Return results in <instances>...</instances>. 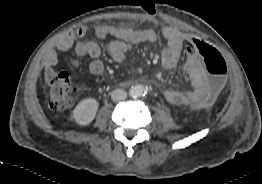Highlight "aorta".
Masks as SVG:
<instances>
[{"label":"aorta","instance_id":"1","mask_svg":"<svg viewBox=\"0 0 262 184\" xmlns=\"http://www.w3.org/2000/svg\"><path fill=\"white\" fill-rule=\"evenodd\" d=\"M146 90H145V87L143 85H136V86H133L130 91H129V94L131 97L133 98H138V97H141L145 94Z\"/></svg>","mask_w":262,"mask_h":184}]
</instances>
